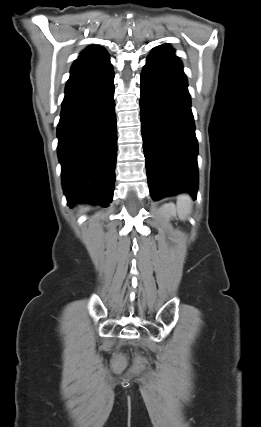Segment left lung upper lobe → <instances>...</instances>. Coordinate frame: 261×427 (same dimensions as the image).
<instances>
[{
	"label": "left lung upper lobe",
	"instance_id": "obj_1",
	"mask_svg": "<svg viewBox=\"0 0 261 427\" xmlns=\"http://www.w3.org/2000/svg\"><path fill=\"white\" fill-rule=\"evenodd\" d=\"M160 47H163V48H165V49H168V50L173 51V50L171 49V47H170L168 44H163V45H162V46H160Z\"/></svg>",
	"mask_w": 261,
	"mask_h": 427
}]
</instances>
